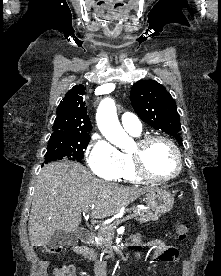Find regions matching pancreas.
I'll return each instance as SVG.
<instances>
[{"mask_svg": "<svg viewBox=\"0 0 221 276\" xmlns=\"http://www.w3.org/2000/svg\"><path fill=\"white\" fill-rule=\"evenodd\" d=\"M130 211H132L135 214L136 219L140 223H145L148 221H157L159 218V215L157 213H153L151 211H144L138 208H131ZM114 228L115 225H105L101 227V229L97 233V242H95L96 246L99 247H105L112 249V240L114 238Z\"/></svg>", "mask_w": 221, "mask_h": 276, "instance_id": "cf45deb5", "label": "pancreas"}]
</instances>
